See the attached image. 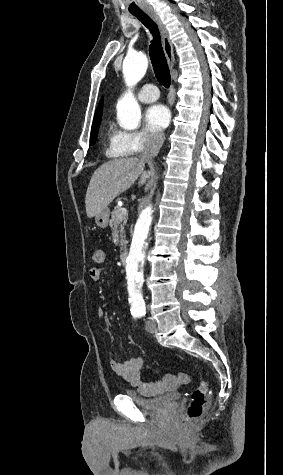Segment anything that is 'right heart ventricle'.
<instances>
[{"instance_id": "right-heart-ventricle-1", "label": "right heart ventricle", "mask_w": 283, "mask_h": 475, "mask_svg": "<svg viewBox=\"0 0 283 475\" xmlns=\"http://www.w3.org/2000/svg\"><path fill=\"white\" fill-rule=\"evenodd\" d=\"M117 132V129L111 122H107L104 124L102 128V133L106 141L110 144V146ZM108 151L110 152V148L108 149Z\"/></svg>"}]
</instances>
